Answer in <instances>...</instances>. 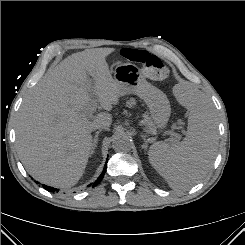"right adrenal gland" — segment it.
I'll use <instances>...</instances> for the list:
<instances>
[{
    "label": "right adrenal gland",
    "mask_w": 245,
    "mask_h": 245,
    "mask_svg": "<svg viewBox=\"0 0 245 245\" xmlns=\"http://www.w3.org/2000/svg\"><path fill=\"white\" fill-rule=\"evenodd\" d=\"M100 132H101V130H98V131L95 133V136H94V138H93V143H92L91 154L94 153V150H95V148L97 147V144H98V137H99Z\"/></svg>",
    "instance_id": "obj_1"
}]
</instances>
